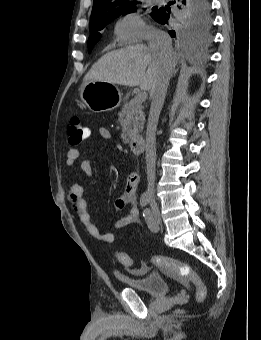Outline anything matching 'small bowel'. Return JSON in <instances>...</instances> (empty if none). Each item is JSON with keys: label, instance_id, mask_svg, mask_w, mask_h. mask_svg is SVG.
<instances>
[{"label": "small bowel", "instance_id": "c3829d8e", "mask_svg": "<svg viewBox=\"0 0 261 340\" xmlns=\"http://www.w3.org/2000/svg\"><path fill=\"white\" fill-rule=\"evenodd\" d=\"M91 130L85 126V139L89 138ZM99 135L103 139L110 140L112 135L106 127L99 128ZM80 161V168L87 177L93 176V168L88 159L83 158L80 151L77 148H70L66 153L65 164L68 167L74 166ZM139 182V175L137 172H131L126 180L125 188L123 193L117 198L115 204L118 209H123L129 206L128 214L117 220L113 224L114 229H121L131 224L139 222V210L137 208L136 189ZM68 203L73 212L78 217L81 224L85 227L89 235L97 240L106 243H113L115 235L112 232L103 233L92 221L91 216L88 212L87 203L84 198V190L80 184H73L67 194Z\"/></svg>", "mask_w": 261, "mask_h": 340}]
</instances>
